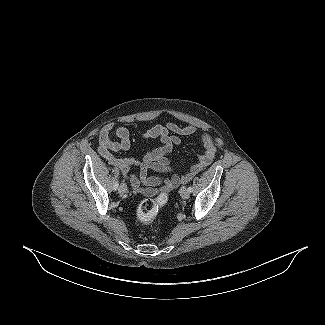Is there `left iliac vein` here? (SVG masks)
<instances>
[{"instance_id":"1","label":"left iliac vein","mask_w":325,"mask_h":325,"mask_svg":"<svg viewBox=\"0 0 325 325\" xmlns=\"http://www.w3.org/2000/svg\"><path fill=\"white\" fill-rule=\"evenodd\" d=\"M180 196L183 198V199H188L189 196H190V193L188 191V189L185 187V186H182L180 188Z\"/></svg>"}]
</instances>
